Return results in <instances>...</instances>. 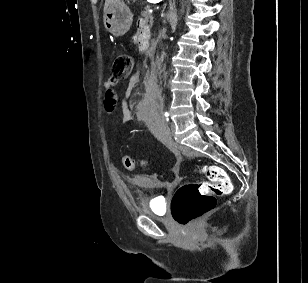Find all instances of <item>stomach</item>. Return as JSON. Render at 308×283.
Masks as SVG:
<instances>
[{"mask_svg": "<svg viewBox=\"0 0 308 283\" xmlns=\"http://www.w3.org/2000/svg\"><path fill=\"white\" fill-rule=\"evenodd\" d=\"M133 14L124 2L111 5L104 12V26L115 37L123 36L130 29Z\"/></svg>", "mask_w": 308, "mask_h": 283, "instance_id": "1", "label": "stomach"}]
</instances>
